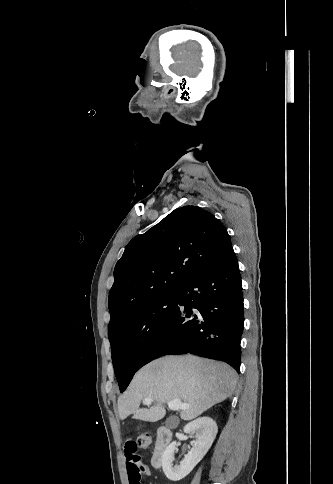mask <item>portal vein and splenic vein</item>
<instances>
[{"label": "portal vein and splenic vein", "instance_id": "portal-vein-and-splenic-vein-1", "mask_svg": "<svg viewBox=\"0 0 333 484\" xmlns=\"http://www.w3.org/2000/svg\"><path fill=\"white\" fill-rule=\"evenodd\" d=\"M152 402H153V399L152 398H145L142 401V403L144 405H151ZM167 405H168V407L171 410H174V411H178V410H182V409L189 408V405L186 404V403H183L180 399L170 400V401L167 402Z\"/></svg>", "mask_w": 333, "mask_h": 484}]
</instances>
